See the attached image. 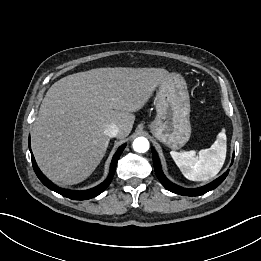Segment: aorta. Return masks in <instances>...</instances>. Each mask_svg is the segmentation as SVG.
<instances>
[{
	"mask_svg": "<svg viewBox=\"0 0 261 261\" xmlns=\"http://www.w3.org/2000/svg\"><path fill=\"white\" fill-rule=\"evenodd\" d=\"M133 149L138 153H145L149 150V141L145 137H138L133 141Z\"/></svg>",
	"mask_w": 261,
	"mask_h": 261,
	"instance_id": "aorta-1",
	"label": "aorta"
}]
</instances>
